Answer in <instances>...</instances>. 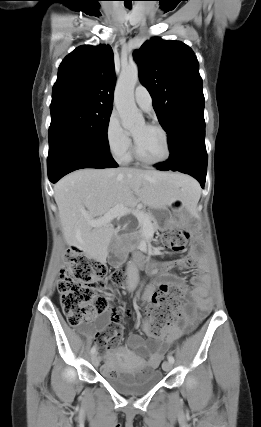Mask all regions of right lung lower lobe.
<instances>
[{
	"label": "right lung lower lobe",
	"instance_id": "1",
	"mask_svg": "<svg viewBox=\"0 0 261 427\" xmlns=\"http://www.w3.org/2000/svg\"><path fill=\"white\" fill-rule=\"evenodd\" d=\"M47 165L48 177L52 183L78 169L118 166L110 152L78 146H59L49 151Z\"/></svg>",
	"mask_w": 261,
	"mask_h": 427
}]
</instances>
